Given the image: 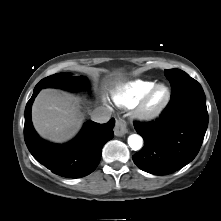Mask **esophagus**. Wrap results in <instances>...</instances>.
<instances>
[{"mask_svg":"<svg viewBox=\"0 0 221 221\" xmlns=\"http://www.w3.org/2000/svg\"><path fill=\"white\" fill-rule=\"evenodd\" d=\"M127 133L126 123L122 119H117L114 127V134L118 137Z\"/></svg>","mask_w":221,"mask_h":221,"instance_id":"1","label":"esophagus"}]
</instances>
